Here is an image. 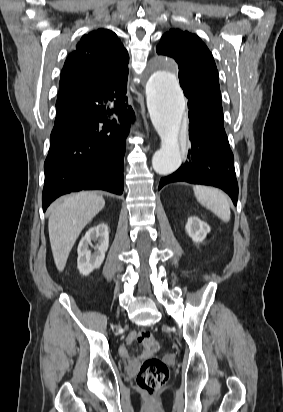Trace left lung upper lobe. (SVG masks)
<instances>
[{"label": "left lung upper lobe", "instance_id": "1", "mask_svg": "<svg viewBox=\"0 0 283 412\" xmlns=\"http://www.w3.org/2000/svg\"><path fill=\"white\" fill-rule=\"evenodd\" d=\"M156 51L178 63L180 85L188 101L199 104L208 112L223 115L213 56L196 35L171 29L162 36Z\"/></svg>", "mask_w": 283, "mask_h": 412}]
</instances>
